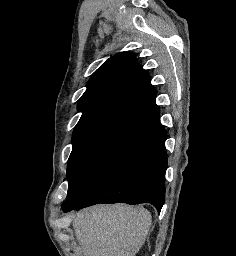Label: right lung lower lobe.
<instances>
[{
    "mask_svg": "<svg viewBox=\"0 0 236 256\" xmlns=\"http://www.w3.org/2000/svg\"><path fill=\"white\" fill-rule=\"evenodd\" d=\"M167 134L158 122L118 151L86 181L63 211L97 203H150L158 212L165 200Z\"/></svg>",
    "mask_w": 236,
    "mask_h": 256,
    "instance_id": "obj_1",
    "label": "right lung lower lobe"
}]
</instances>
